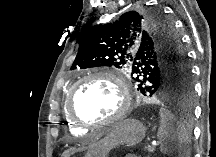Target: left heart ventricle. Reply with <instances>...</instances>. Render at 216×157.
I'll list each match as a JSON object with an SVG mask.
<instances>
[{
  "mask_svg": "<svg viewBox=\"0 0 216 157\" xmlns=\"http://www.w3.org/2000/svg\"><path fill=\"white\" fill-rule=\"evenodd\" d=\"M119 107L117 87L102 79H91L80 84L74 92V112L86 121L110 118Z\"/></svg>",
  "mask_w": 216,
  "mask_h": 157,
  "instance_id": "1",
  "label": "left heart ventricle"
}]
</instances>
